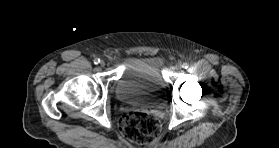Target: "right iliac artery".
Returning <instances> with one entry per match:
<instances>
[{
	"instance_id": "1",
	"label": "right iliac artery",
	"mask_w": 279,
	"mask_h": 148,
	"mask_svg": "<svg viewBox=\"0 0 279 148\" xmlns=\"http://www.w3.org/2000/svg\"><path fill=\"white\" fill-rule=\"evenodd\" d=\"M100 63V59L99 58H95L94 59V64H99Z\"/></svg>"
}]
</instances>
